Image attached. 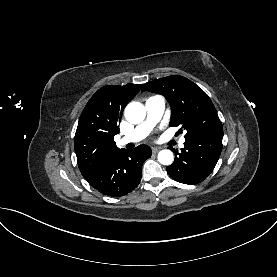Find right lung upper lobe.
<instances>
[{
	"label": "right lung upper lobe",
	"instance_id": "cb5924a9",
	"mask_svg": "<svg viewBox=\"0 0 277 277\" xmlns=\"http://www.w3.org/2000/svg\"><path fill=\"white\" fill-rule=\"evenodd\" d=\"M142 84L108 85L88 101L79 118L74 148L83 177L101 166L120 149L114 142L125 106L140 91Z\"/></svg>",
	"mask_w": 277,
	"mask_h": 277
}]
</instances>
